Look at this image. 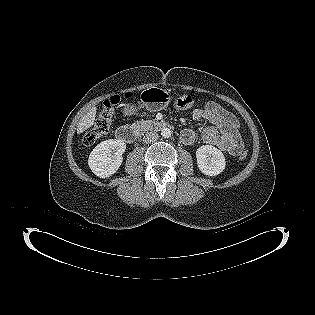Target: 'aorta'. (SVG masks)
<instances>
[{
  "label": "aorta",
  "mask_w": 315,
  "mask_h": 315,
  "mask_svg": "<svg viewBox=\"0 0 315 315\" xmlns=\"http://www.w3.org/2000/svg\"><path fill=\"white\" fill-rule=\"evenodd\" d=\"M171 134H172V132H171V130H170L169 128H164V129H162V131H161V135H162V137H164V138H169V137H171Z\"/></svg>",
  "instance_id": "1"
}]
</instances>
